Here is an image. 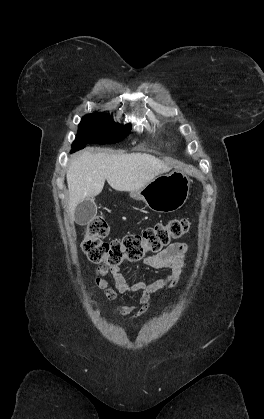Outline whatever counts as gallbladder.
I'll list each match as a JSON object with an SVG mask.
<instances>
[{
	"mask_svg": "<svg viewBox=\"0 0 264 419\" xmlns=\"http://www.w3.org/2000/svg\"><path fill=\"white\" fill-rule=\"evenodd\" d=\"M97 206L93 199H86L79 203L75 209V220L79 225L88 224L96 216Z\"/></svg>",
	"mask_w": 264,
	"mask_h": 419,
	"instance_id": "1",
	"label": "gallbladder"
}]
</instances>
